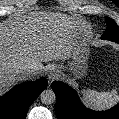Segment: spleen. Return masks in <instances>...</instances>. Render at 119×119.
I'll return each instance as SVG.
<instances>
[{
  "label": "spleen",
  "instance_id": "3e777b00",
  "mask_svg": "<svg viewBox=\"0 0 119 119\" xmlns=\"http://www.w3.org/2000/svg\"><path fill=\"white\" fill-rule=\"evenodd\" d=\"M83 99L85 103L96 110H104L114 106L119 102V95L116 90L111 92H97L95 90H83Z\"/></svg>",
  "mask_w": 119,
  "mask_h": 119
}]
</instances>
